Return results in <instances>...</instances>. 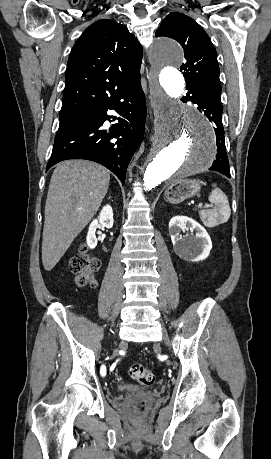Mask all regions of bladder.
<instances>
[{"label":"bladder","mask_w":271,"mask_h":459,"mask_svg":"<svg viewBox=\"0 0 271 459\" xmlns=\"http://www.w3.org/2000/svg\"><path fill=\"white\" fill-rule=\"evenodd\" d=\"M146 387H140L136 386L134 384H130L126 381L120 382L118 386H116V392L117 393H123V392H129V391H140V390H145Z\"/></svg>","instance_id":"31cf9c89"}]
</instances>
